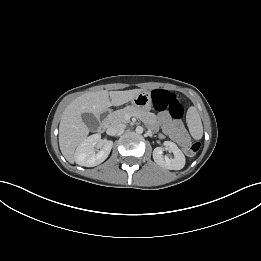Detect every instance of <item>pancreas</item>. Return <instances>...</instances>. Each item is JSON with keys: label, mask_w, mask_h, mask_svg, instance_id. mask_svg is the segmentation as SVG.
<instances>
[{"label": "pancreas", "mask_w": 261, "mask_h": 261, "mask_svg": "<svg viewBox=\"0 0 261 261\" xmlns=\"http://www.w3.org/2000/svg\"><path fill=\"white\" fill-rule=\"evenodd\" d=\"M127 115L137 116L145 121L155 118V115L150 112L143 111L135 106H127L124 109L109 114L107 117V123L109 125L115 123H128L129 119L126 117Z\"/></svg>", "instance_id": "obj_1"}]
</instances>
